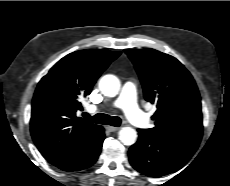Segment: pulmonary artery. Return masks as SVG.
Wrapping results in <instances>:
<instances>
[{"instance_id": "pulmonary-artery-1", "label": "pulmonary artery", "mask_w": 230, "mask_h": 186, "mask_svg": "<svg viewBox=\"0 0 230 186\" xmlns=\"http://www.w3.org/2000/svg\"><path fill=\"white\" fill-rule=\"evenodd\" d=\"M113 105L122 108L129 121L136 127L147 128L150 126L149 118L137 106L136 87L132 82L124 84ZM91 109L96 110L97 107L93 106Z\"/></svg>"}]
</instances>
